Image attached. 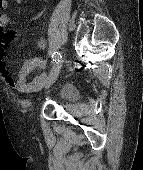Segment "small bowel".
I'll return each mask as SVG.
<instances>
[{
    "label": "small bowel",
    "instance_id": "1",
    "mask_svg": "<svg viewBox=\"0 0 143 170\" xmlns=\"http://www.w3.org/2000/svg\"><path fill=\"white\" fill-rule=\"evenodd\" d=\"M20 2L21 0H15ZM10 17L7 14L0 13V74L3 76L5 83L14 89L21 92H34L39 90L46 79V74L42 71L46 68V60L42 57H31L24 61L19 69L18 75L14 78L9 70L7 63L4 60V45L10 43L17 38L20 33L9 31ZM37 46L40 49L46 47V40L39 38ZM33 73L37 75L31 78Z\"/></svg>",
    "mask_w": 143,
    "mask_h": 170
}]
</instances>
